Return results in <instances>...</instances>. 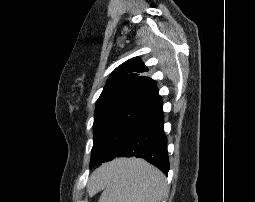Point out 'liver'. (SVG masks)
I'll use <instances>...</instances> for the list:
<instances>
[{
  "label": "liver",
  "instance_id": "6515ba94",
  "mask_svg": "<svg viewBox=\"0 0 255 202\" xmlns=\"http://www.w3.org/2000/svg\"><path fill=\"white\" fill-rule=\"evenodd\" d=\"M104 167V166H103ZM103 167H101L100 169H102ZM99 169V170H100ZM97 173V172H96ZM96 173L92 176V180H94L95 176H96Z\"/></svg>",
  "mask_w": 255,
  "mask_h": 202
}]
</instances>
